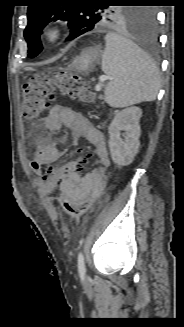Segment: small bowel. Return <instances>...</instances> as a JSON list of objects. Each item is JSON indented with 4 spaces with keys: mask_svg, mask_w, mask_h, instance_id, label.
<instances>
[{
    "mask_svg": "<svg viewBox=\"0 0 184 327\" xmlns=\"http://www.w3.org/2000/svg\"><path fill=\"white\" fill-rule=\"evenodd\" d=\"M43 122L48 131L67 128L75 137L83 138L91 143L95 148L98 165L89 173L80 176L83 175V167L88 165L89 154H60L56 142L47 137H40L36 140L37 149L31 167L34 171L35 165H43V170L48 173H41L40 177L44 183H40V188L34 192L39 198L47 199L48 195H52V190H59L60 194H65L70 200L95 202L104 190L107 179L106 170L111 164L102 132L83 114L60 104L50 109ZM59 158L63 161L56 163ZM58 198L59 196H56L57 201Z\"/></svg>",
    "mask_w": 184,
    "mask_h": 327,
    "instance_id": "1",
    "label": "small bowel"
}]
</instances>
